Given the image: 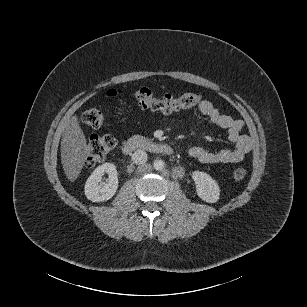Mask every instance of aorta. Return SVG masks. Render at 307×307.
Here are the masks:
<instances>
[{"instance_id": "aorta-1", "label": "aorta", "mask_w": 307, "mask_h": 307, "mask_svg": "<svg viewBox=\"0 0 307 307\" xmlns=\"http://www.w3.org/2000/svg\"><path fill=\"white\" fill-rule=\"evenodd\" d=\"M153 167L157 171H162L165 167V163L163 160H157V161H154Z\"/></svg>"}]
</instances>
